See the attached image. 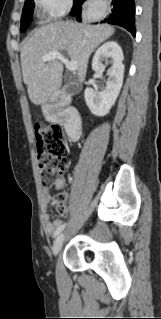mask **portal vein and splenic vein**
<instances>
[{"label":"portal vein and splenic vein","instance_id":"18ae733b","mask_svg":"<svg viewBox=\"0 0 161 319\" xmlns=\"http://www.w3.org/2000/svg\"><path fill=\"white\" fill-rule=\"evenodd\" d=\"M56 59L64 63L67 69H69L70 71H75L77 69V62L75 60L69 61L59 51H50L49 53L41 57L42 61H53Z\"/></svg>","mask_w":161,"mask_h":319}]
</instances>
